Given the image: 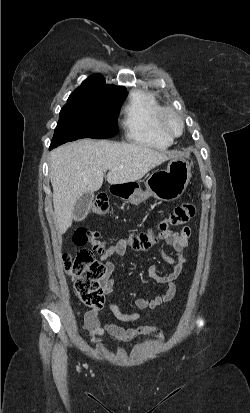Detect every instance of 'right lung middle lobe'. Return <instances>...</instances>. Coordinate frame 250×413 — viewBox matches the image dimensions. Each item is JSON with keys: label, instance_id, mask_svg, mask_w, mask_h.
<instances>
[{"label": "right lung middle lobe", "instance_id": "right-lung-middle-lobe-1", "mask_svg": "<svg viewBox=\"0 0 250 413\" xmlns=\"http://www.w3.org/2000/svg\"><path fill=\"white\" fill-rule=\"evenodd\" d=\"M126 96L75 90L60 111L51 147L81 138L105 139L118 133L117 117Z\"/></svg>", "mask_w": 250, "mask_h": 413}]
</instances>
